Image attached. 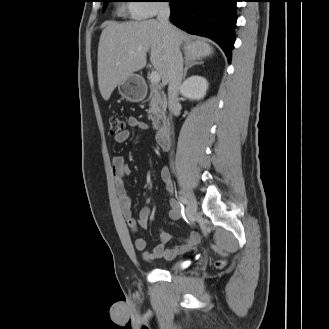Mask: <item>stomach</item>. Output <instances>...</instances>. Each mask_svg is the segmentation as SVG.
Segmentation results:
<instances>
[{
    "label": "stomach",
    "instance_id": "obj_1",
    "mask_svg": "<svg viewBox=\"0 0 329 329\" xmlns=\"http://www.w3.org/2000/svg\"><path fill=\"white\" fill-rule=\"evenodd\" d=\"M119 93L130 102H140L147 94L144 79L138 74H131L124 82L118 85Z\"/></svg>",
    "mask_w": 329,
    "mask_h": 329
}]
</instances>
